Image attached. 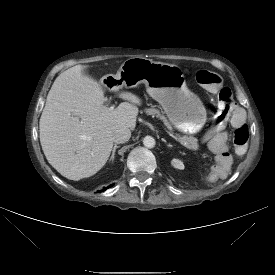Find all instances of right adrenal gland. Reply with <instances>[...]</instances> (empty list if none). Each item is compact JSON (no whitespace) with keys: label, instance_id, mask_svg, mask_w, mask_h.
I'll use <instances>...</instances> for the list:
<instances>
[{"label":"right adrenal gland","instance_id":"right-adrenal-gland-1","mask_svg":"<svg viewBox=\"0 0 275 275\" xmlns=\"http://www.w3.org/2000/svg\"><path fill=\"white\" fill-rule=\"evenodd\" d=\"M119 147H120L119 145H116V144L114 145L113 150H112V155H111V157H110V161L113 162V160H114V158H115L116 149L119 148Z\"/></svg>","mask_w":275,"mask_h":275}]
</instances>
